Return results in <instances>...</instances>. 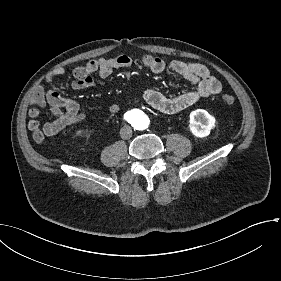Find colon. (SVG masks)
Returning a JSON list of instances; mask_svg holds the SVG:
<instances>
[{
  "label": "colon",
  "mask_w": 281,
  "mask_h": 281,
  "mask_svg": "<svg viewBox=\"0 0 281 281\" xmlns=\"http://www.w3.org/2000/svg\"><path fill=\"white\" fill-rule=\"evenodd\" d=\"M222 102L225 105H232L235 102V98L233 96H231V95H224L222 97Z\"/></svg>",
  "instance_id": "obj_1"
}]
</instances>
